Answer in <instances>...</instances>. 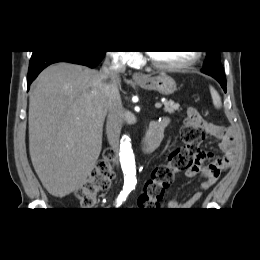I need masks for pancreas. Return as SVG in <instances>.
<instances>
[{"label":"pancreas","mask_w":260,"mask_h":260,"mask_svg":"<svg viewBox=\"0 0 260 260\" xmlns=\"http://www.w3.org/2000/svg\"><path fill=\"white\" fill-rule=\"evenodd\" d=\"M164 111L166 113L169 114H173L175 113V111H179V104L178 103H174V101L170 100V101H164Z\"/></svg>","instance_id":"obj_1"}]
</instances>
